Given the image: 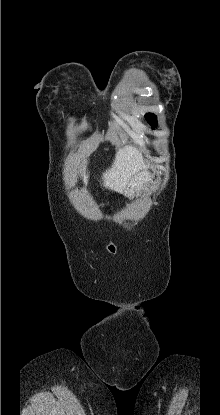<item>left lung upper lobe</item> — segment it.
Masks as SVG:
<instances>
[{
    "label": "left lung upper lobe",
    "instance_id": "5c2ea615",
    "mask_svg": "<svg viewBox=\"0 0 220 415\" xmlns=\"http://www.w3.org/2000/svg\"><path fill=\"white\" fill-rule=\"evenodd\" d=\"M145 118L148 120V122L150 123V125L152 126V127H155L156 126V116L154 115V114H146L145 115Z\"/></svg>",
    "mask_w": 220,
    "mask_h": 415
}]
</instances>
